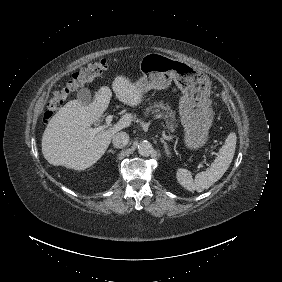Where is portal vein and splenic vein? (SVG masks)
I'll return each mask as SVG.
<instances>
[{
    "mask_svg": "<svg viewBox=\"0 0 282 282\" xmlns=\"http://www.w3.org/2000/svg\"><path fill=\"white\" fill-rule=\"evenodd\" d=\"M113 116L112 115H108L105 119L106 124L104 125H100L96 128L93 129L94 133H98L103 131L104 129H106L107 127L111 126V122H112Z\"/></svg>",
    "mask_w": 282,
    "mask_h": 282,
    "instance_id": "obj_1",
    "label": "portal vein and splenic vein"
}]
</instances>
